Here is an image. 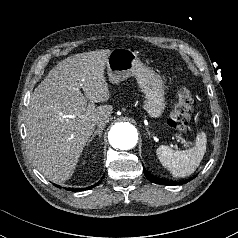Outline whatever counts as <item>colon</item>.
I'll return each instance as SVG.
<instances>
[{
    "mask_svg": "<svg viewBox=\"0 0 238 238\" xmlns=\"http://www.w3.org/2000/svg\"><path fill=\"white\" fill-rule=\"evenodd\" d=\"M194 105L195 98L193 94L186 88L180 89L173 110L168 118V125L178 131L188 132L190 130V119Z\"/></svg>",
    "mask_w": 238,
    "mask_h": 238,
    "instance_id": "colon-1",
    "label": "colon"
}]
</instances>
